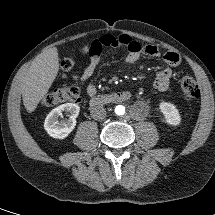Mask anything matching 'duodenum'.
I'll list each match as a JSON object with an SVG mask.
<instances>
[{"mask_svg": "<svg viewBox=\"0 0 215 215\" xmlns=\"http://www.w3.org/2000/svg\"><path fill=\"white\" fill-rule=\"evenodd\" d=\"M131 97L130 92L128 91H119L105 95L93 96L89 104L92 107H99L107 104H117L129 100Z\"/></svg>", "mask_w": 215, "mask_h": 215, "instance_id": "410a0bca", "label": "duodenum"}]
</instances>
